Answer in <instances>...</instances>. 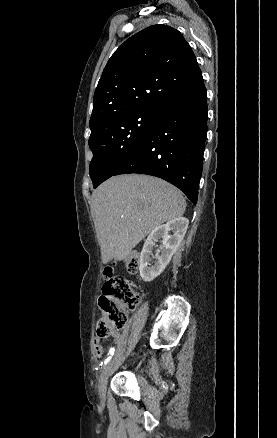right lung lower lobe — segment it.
Returning a JSON list of instances; mask_svg holds the SVG:
<instances>
[{
	"label": "right lung lower lobe",
	"instance_id": "98d812e1",
	"mask_svg": "<svg viewBox=\"0 0 277 438\" xmlns=\"http://www.w3.org/2000/svg\"><path fill=\"white\" fill-rule=\"evenodd\" d=\"M165 71L170 65L163 67ZM207 134L203 78L164 100L144 141L113 175L140 173L162 178L197 203Z\"/></svg>",
	"mask_w": 277,
	"mask_h": 438
}]
</instances>
